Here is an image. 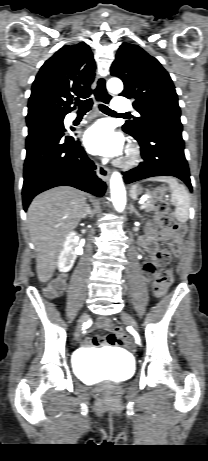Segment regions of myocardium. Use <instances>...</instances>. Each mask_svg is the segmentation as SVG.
<instances>
[{
  "label": "myocardium",
  "instance_id": "1",
  "mask_svg": "<svg viewBox=\"0 0 208 461\" xmlns=\"http://www.w3.org/2000/svg\"><path fill=\"white\" fill-rule=\"evenodd\" d=\"M138 161V150L130 146L127 148L125 155L118 161L122 167H131Z\"/></svg>",
  "mask_w": 208,
  "mask_h": 461
}]
</instances>
